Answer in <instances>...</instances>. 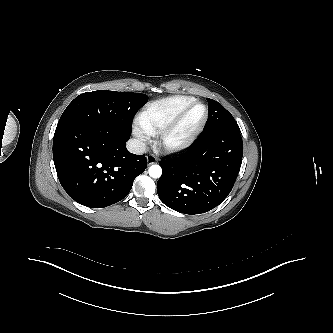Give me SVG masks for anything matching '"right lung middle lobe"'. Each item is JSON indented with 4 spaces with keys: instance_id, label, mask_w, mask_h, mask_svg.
<instances>
[{
    "instance_id": "1",
    "label": "right lung middle lobe",
    "mask_w": 333,
    "mask_h": 333,
    "mask_svg": "<svg viewBox=\"0 0 333 333\" xmlns=\"http://www.w3.org/2000/svg\"><path fill=\"white\" fill-rule=\"evenodd\" d=\"M147 100L145 94L132 92L83 93L68 105L57 127H78L125 137L131 134L132 120Z\"/></svg>"
}]
</instances>
